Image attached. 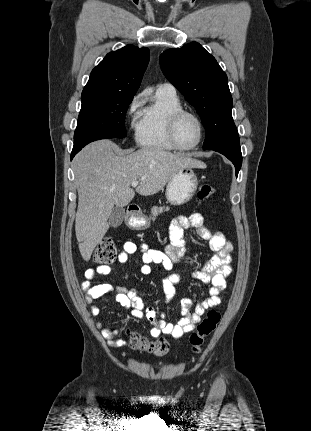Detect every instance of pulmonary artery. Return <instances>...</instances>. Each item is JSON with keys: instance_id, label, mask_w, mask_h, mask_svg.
<instances>
[{"instance_id": "obj_1", "label": "pulmonary artery", "mask_w": 311, "mask_h": 431, "mask_svg": "<svg viewBox=\"0 0 311 431\" xmlns=\"http://www.w3.org/2000/svg\"><path fill=\"white\" fill-rule=\"evenodd\" d=\"M157 89L158 90H162V91H166V92H169V93L176 92L174 86L171 85V84H169V83L159 84L157 86Z\"/></svg>"}]
</instances>
